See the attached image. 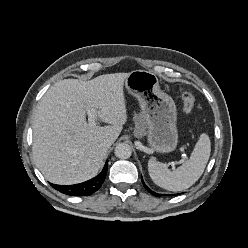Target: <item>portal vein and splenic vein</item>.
<instances>
[{
  "mask_svg": "<svg viewBox=\"0 0 248 248\" xmlns=\"http://www.w3.org/2000/svg\"><path fill=\"white\" fill-rule=\"evenodd\" d=\"M88 121H89L90 126L96 125V122H95V110H93V109L88 110Z\"/></svg>",
  "mask_w": 248,
  "mask_h": 248,
  "instance_id": "18ae733b",
  "label": "portal vein and splenic vein"
}]
</instances>
